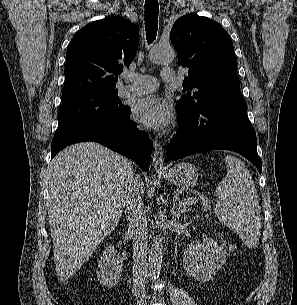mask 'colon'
Masks as SVG:
<instances>
[{
	"label": "colon",
	"instance_id": "1",
	"mask_svg": "<svg viewBox=\"0 0 297 305\" xmlns=\"http://www.w3.org/2000/svg\"><path fill=\"white\" fill-rule=\"evenodd\" d=\"M225 247L229 252H232L234 250V245L229 241H225Z\"/></svg>",
	"mask_w": 297,
	"mask_h": 305
}]
</instances>
